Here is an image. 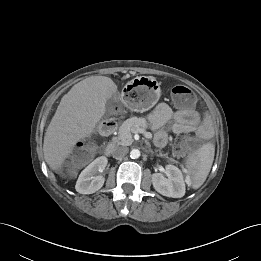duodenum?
I'll list each match as a JSON object with an SVG mask.
<instances>
[{
  "instance_id": "1",
  "label": "duodenum",
  "mask_w": 261,
  "mask_h": 261,
  "mask_svg": "<svg viewBox=\"0 0 261 261\" xmlns=\"http://www.w3.org/2000/svg\"><path fill=\"white\" fill-rule=\"evenodd\" d=\"M115 128V121L113 119L105 120L100 126V132L104 134H111ZM105 152L107 155H111L114 152V144L107 145Z\"/></svg>"
}]
</instances>
